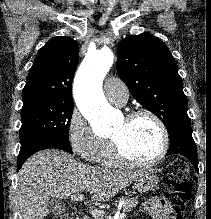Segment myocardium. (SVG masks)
Masks as SVG:
<instances>
[{
    "instance_id": "f54148a6",
    "label": "myocardium",
    "mask_w": 211,
    "mask_h": 219,
    "mask_svg": "<svg viewBox=\"0 0 211 219\" xmlns=\"http://www.w3.org/2000/svg\"><path fill=\"white\" fill-rule=\"evenodd\" d=\"M140 116H147L151 118L157 124L160 130L161 146L157 155L149 160H136L129 157L123 151L120 143L116 139L111 138V145L114 155L119 163L133 167H150L158 164L166 156L170 145L169 132L163 120L156 113L148 109H135L126 115L125 120L132 121Z\"/></svg>"
}]
</instances>
